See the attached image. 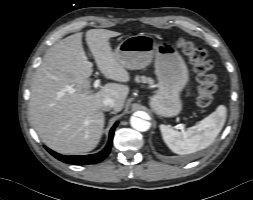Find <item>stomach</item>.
<instances>
[{
    "label": "stomach",
    "mask_w": 253,
    "mask_h": 200,
    "mask_svg": "<svg viewBox=\"0 0 253 200\" xmlns=\"http://www.w3.org/2000/svg\"><path fill=\"white\" fill-rule=\"evenodd\" d=\"M113 53L117 62L131 70L145 68L155 57L159 86L150 99V106L156 114L164 117L180 113V92L186 86L189 74L183 58L174 47L157 44L150 36L139 34L122 40Z\"/></svg>",
    "instance_id": "stomach-1"
}]
</instances>
